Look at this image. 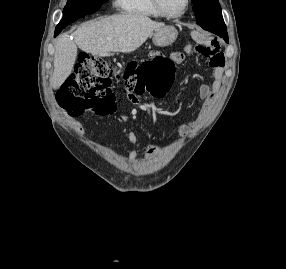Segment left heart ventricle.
<instances>
[{
	"mask_svg": "<svg viewBox=\"0 0 286 269\" xmlns=\"http://www.w3.org/2000/svg\"><path fill=\"white\" fill-rule=\"evenodd\" d=\"M162 3L169 13L177 14L183 9L185 0H162Z\"/></svg>",
	"mask_w": 286,
	"mask_h": 269,
	"instance_id": "1",
	"label": "left heart ventricle"
}]
</instances>
